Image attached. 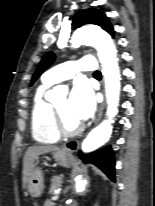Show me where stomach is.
I'll use <instances>...</instances> for the list:
<instances>
[{"mask_svg": "<svg viewBox=\"0 0 155 206\" xmlns=\"http://www.w3.org/2000/svg\"><path fill=\"white\" fill-rule=\"evenodd\" d=\"M53 158L62 166L68 167L75 161L74 156L65 149H58L53 152ZM44 179L42 172L34 168L27 181V190L32 197H39L43 193Z\"/></svg>", "mask_w": 155, "mask_h": 206, "instance_id": "0dacf381", "label": "stomach"}]
</instances>
